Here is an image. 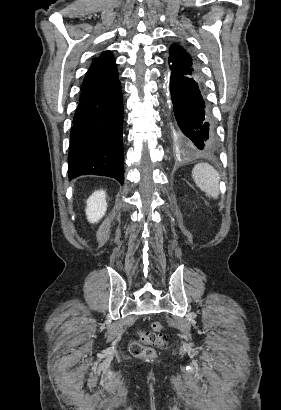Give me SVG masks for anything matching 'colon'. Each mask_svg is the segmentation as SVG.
I'll return each instance as SVG.
<instances>
[{
  "instance_id": "obj_1",
  "label": "colon",
  "mask_w": 281,
  "mask_h": 410,
  "mask_svg": "<svg viewBox=\"0 0 281 410\" xmlns=\"http://www.w3.org/2000/svg\"><path fill=\"white\" fill-rule=\"evenodd\" d=\"M164 329V325L157 321L152 322L150 328H142L139 332V339L130 343L131 354L140 358L153 357V346L162 347L167 343V338L163 333Z\"/></svg>"
}]
</instances>
